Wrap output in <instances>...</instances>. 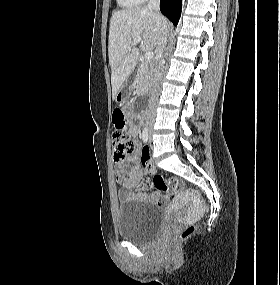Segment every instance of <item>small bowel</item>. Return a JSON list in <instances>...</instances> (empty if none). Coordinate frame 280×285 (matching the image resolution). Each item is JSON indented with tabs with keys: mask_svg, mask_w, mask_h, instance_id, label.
I'll return each instance as SVG.
<instances>
[{
	"mask_svg": "<svg viewBox=\"0 0 280 285\" xmlns=\"http://www.w3.org/2000/svg\"><path fill=\"white\" fill-rule=\"evenodd\" d=\"M129 133L137 138L140 135V128L137 124H132L128 127ZM139 143L135 142L134 149L125 157L121 163L117 165L116 181L122 186L119 196L120 199L125 201L129 198L140 199L148 202H152L158 205L163 204L166 198L160 191H154L151 194H147L144 190L149 186L148 182H141L143 172L154 173L155 167L150 159H146L141 162L138 158ZM145 149V148H144ZM131 164L129 169L126 168V164ZM134 190V192H132Z\"/></svg>",
	"mask_w": 280,
	"mask_h": 285,
	"instance_id": "small-bowel-1",
	"label": "small bowel"
}]
</instances>
